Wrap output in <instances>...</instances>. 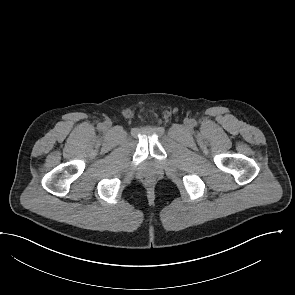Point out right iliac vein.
<instances>
[{"instance_id": "1", "label": "right iliac vein", "mask_w": 295, "mask_h": 295, "mask_svg": "<svg viewBox=\"0 0 295 295\" xmlns=\"http://www.w3.org/2000/svg\"><path fill=\"white\" fill-rule=\"evenodd\" d=\"M105 126H106L107 128H109L111 125H110L109 122H106V123H105Z\"/></svg>"}]
</instances>
